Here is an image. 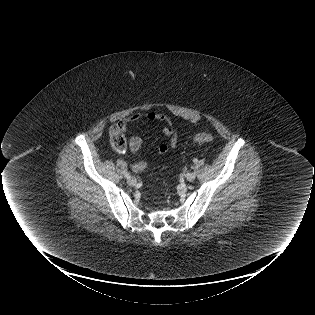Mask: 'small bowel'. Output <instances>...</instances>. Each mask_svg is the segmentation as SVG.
<instances>
[{"instance_id": "small-bowel-1", "label": "small bowel", "mask_w": 315, "mask_h": 315, "mask_svg": "<svg viewBox=\"0 0 315 315\" xmlns=\"http://www.w3.org/2000/svg\"><path fill=\"white\" fill-rule=\"evenodd\" d=\"M144 121H157L163 127V134L168 139V144H161L158 147L159 154H165L170 149L177 147L179 143L178 133L171 121V119L163 114L156 112H137L131 116L121 120L119 124L121 125L123 131H126L131 124H136ZM142 139L139 136H132L129 141L130 150L133 153H136L140 150L142 146ZM146 168V162L143 160H138L133 163L132 170L134 172H142Z\"/></svg>"}]
</instances>
